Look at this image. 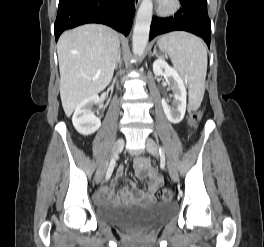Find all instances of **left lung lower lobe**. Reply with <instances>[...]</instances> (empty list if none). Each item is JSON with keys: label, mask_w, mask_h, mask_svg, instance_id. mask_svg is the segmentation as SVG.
<instances>
[{"label": "left lung lower lobe", "mask_w": 264, "mask_h": 247, "mask_svg": "<svg viewBox=\"0 0 264 247\" xmlns=\"http://www.w3.org/2000/svg\"><path fill=\"white\" fill-rule=\"evenodd\" d=\"M182 9L173 17L154 16L150 27V37L171 31H187L204 39L210 46L211 23L207 12V0H180Z\"/></svg>", "instance_id": "left-lung-lower-lobe-1"}]
</instances>
